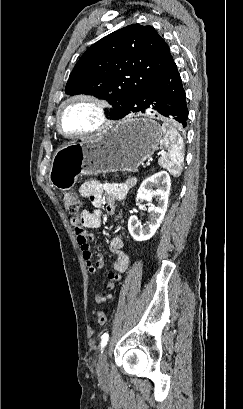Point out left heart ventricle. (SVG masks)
Listing matches in <instances>:
<instances>
[{
  "instance_id": "left-heart-ventricle-1",
  "label": "left heart ventricle",
  "mask_w": 243,
  "mask_h": 409,
  "mask_svg": "<svg viewBox=\"0 0 243 409\" xmlns=\"http://www.w3.org/2000/svg\"><path fill=\"white\" fill-rule=\"evenodd\" d=\"M99 123L95 107L85 101L67 105L61 115V126L67 134H77L95 128Z\"/></svg>"
}]
</instances>
